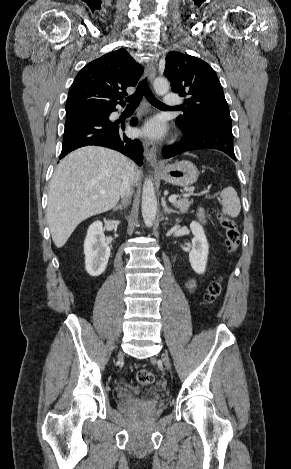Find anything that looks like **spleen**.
I'll return each instance as SVG.
<instances>
[{"mask_svg": "<svg viewBox=\"0 0 291 469\" xmlns=\"http://www.w3.org/2000/svg\"><path fill=\"white\" fill-rule=\"evenodd\" d=\"M222 212L233 218L237 217L241 210L240 199L233 187H227L221 192Z\"/></svg>", "mask_w": 291, "mask_h": 469, "instance_id": "spleen-1", "label": "spleen"}]
</instances>
